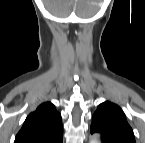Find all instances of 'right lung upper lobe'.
Instances as JSON below:
<instances>
[{"instance_id": "cb5924a9", "label": "right lung upper lobe", "mask_w": 145, "mask_h": 143, "mask_svg": "<svg viewBox=\"0 0 145 143\" xmlns=\"http://www.w3.org/2000/svg\"><path fill=\"white\" fill-rule=\"evenodd\" d=\"M62 140L61 115L52 103L45 102L26 118L15 143H62Z\"/></svg>"}]
</instances>
